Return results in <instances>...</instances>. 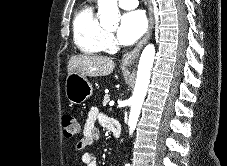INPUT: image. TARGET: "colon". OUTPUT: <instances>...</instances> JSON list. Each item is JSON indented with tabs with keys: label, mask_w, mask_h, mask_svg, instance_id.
<instances>
[{
	"label": "colon",
	"mask_w": 227,
	"mask_h": 166,
	"mask_svg": "<svg viewBox=\"0 0 227 166\" xmlns=\"http://www.w3.org/2000/svg\"><path fill=\"white\" fill-rule=\"evenodd\" d=\"M63 134L65 138H73L79 133V124L76 117L65 115L62 118Z\"/></svg>",
	"instance_id": "obj_1"
}]
</instances>
